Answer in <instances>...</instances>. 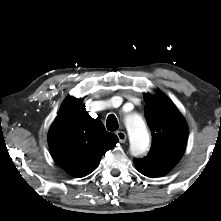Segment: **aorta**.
Returning <instances> with one entry per match:
<instances>
[{
  "instance_id": "762f6f07",
  "label": "aorta",
  "mask_w": 221,
  "mask_h": 221,
  "mask_svg": "<svg viewBox=\"0 0 221 221\" xmlns=\"http://www.w3.org/2000/svg\"><path fill=\"white\" fill-rule=\"evenodd\" d=\"M125 127L130 139V151L133 155L143 154L149 147L150 137L144 120L137 114L125 118Z\"/></svg>"
}]
</instances>
